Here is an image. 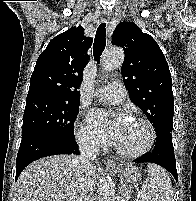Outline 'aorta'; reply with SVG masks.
Instances as JSON below:
<instances>
[{
  "instance_id": "1",
  "label": "aorta",
  "mask_w": 196,
  "mask_h": 201,
  "mask_svg": "<svg viewBox=\"0 0 196 201\" xmlns=\"http://www.w3.org/2000/svg\"><path fill=\"white\" fill-rule=\"evenodd\" d=\"M124 52L119 47L109 48L102 57V66L106 71L114 70L122 65ZM99 201H115L114 185L110 178H102L99 187Z\"/></svg>"
}]
</instances>
